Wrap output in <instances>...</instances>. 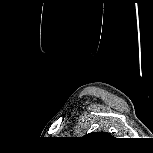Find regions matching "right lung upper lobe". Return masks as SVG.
Listing matches in <instances>:
<instances>
[{"label": "right lung upper lobe", "instance_id": "cb5924a9", "mask_svg": "<svg viewBox=\"0 0 153 153\" xmlns=\"http://www.w3.org/2000/svg\"><path fill=\"white\" fill-rule=\"evenodd\" d=\"M101 134H104V133H102V132H100V133H98V132H96V133H90V134H88L87 135V137H90V136H99V135H101Z\"/></svg>", "mask_w": 153, "mask_h": 153}]
</instances>
